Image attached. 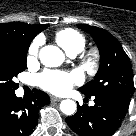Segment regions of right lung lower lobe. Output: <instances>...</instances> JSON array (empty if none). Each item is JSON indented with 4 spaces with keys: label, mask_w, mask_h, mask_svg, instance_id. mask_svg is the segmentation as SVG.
<instances>
[{
    "label": "right lung lower lobe",
    "mask_w": 136,
    "mask_h": 136,
    "mask_svg": "<svg viewBox=\"0 0 136 136\" xmlns=\"http://www.w3.org/2000/svg\"><path fill=\"white\" fill-rule=\"evenodd\" d=\"M49 103V96L39 90L27 100L16 97L15 93L0 96V136L31 134L38 123L39 109Z\"/></svg>",
    "instance_id": "98d812e1"
}]
</instances>
